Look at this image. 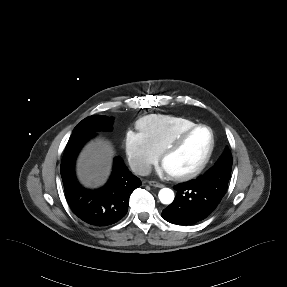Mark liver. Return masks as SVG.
Instances as JSON below:
<instances>
[{
    "label": "liver",
    "instance_id": "1",
    "mask_svg": "<svg viewBox=\"0 0 287 287\" xmlns=\"http://www.w3.org/2000/svg\"><path fill=\"white\" fill-rule=\"evenodd\" d=\"M114 149L111 143L104 139H96L86 145L77 163V174L86 186L102 185L111 169Z\"/></svg>",
    "mask_w": 287,
    "mask_h": 287
}]
</instances>
